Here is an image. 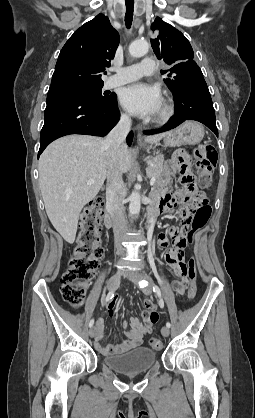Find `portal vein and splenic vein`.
<instances>
[{
  "label": "portal vein and splenic vein",
  "mask_w": 255,
  "mask_h": 418,
  "mask_svg": "<svg viewBox=\"0 0 255 418\" xmlns=\"http://www.w3.org/2000/svg\"><path fill=\"white\" fill-rule=\"evenodd\" d=\"M93 182H94V180H93V179H91V180H89V181L87 182V184H88V185H90V184H92ZM155 182H156V178H155V177H152V178L150 179V185H151V186H153Z\"/></svg>",
  "instance_id": "1"
}]
</instances>
